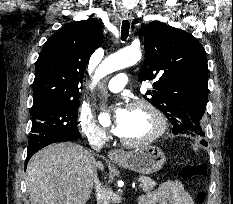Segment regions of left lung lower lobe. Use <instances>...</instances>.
I'll return each instance as SVG.
<instances>
[{"mask_svg": "<svg viewBox=\"0 0 233 204\" xmlns=\"http://www.w3.org/2000/svg\"><path fill=\"white\" fill-rule=\"evenodd\" d=\"M201 143L203 144V145H207V143H206V141L203 139L202 141H201Z\"/></svg>", "mask_w": 233, "mask_h": 204, "instance_id": "1", "label": "left lung lower lobe"}]
</instances>
